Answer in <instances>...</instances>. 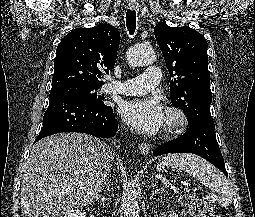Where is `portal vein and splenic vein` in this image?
Returning <instances> with one entry per match:
<instances>
[{
	"label": "portal vein and splenic vein",
	"mask_w": 255,
	"mask_h": 217,
	"mask_svg": "<svg viewBox=\"0 0 255 217\" xmlns=\"http://www.w3.org/2000/svg\"><path fill=\"white\" fill-rule=\"evenodd\" d=\"M184 191L189 192V191H190V189H189V188H185V189H184Z\"/></svg>",
	"instance_id": "18ae733b"
}]
</instances>
